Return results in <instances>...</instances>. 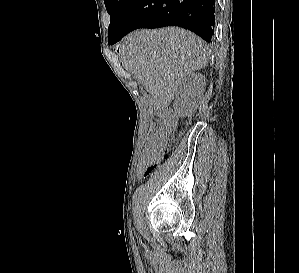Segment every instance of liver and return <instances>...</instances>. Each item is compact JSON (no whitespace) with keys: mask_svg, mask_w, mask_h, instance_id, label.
Here are the masks:
<instances>
[{"mask_svg":"<svg viewBox=\"0 0 299 273\" xmlns=\"http://www.w3.org/2000/svg\"><path fill=\"white\" fill-rule=\"evenodd\" d=\"M120 51L124 67L151 94L157 109L166 108L180 83L209 60L203 40L177 27L135 31L123 39Z\"/></svg>","mask_w":299,"mask_h":273,"instance_id":"1","label":"liver"}]
</instances>
